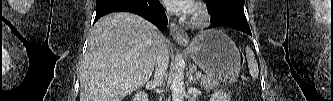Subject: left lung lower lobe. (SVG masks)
<instances>
[{"instance_id": "obj_1", "label": "left lung lower lobe", "mask_w": 333, "mask_h": 101, "mask_svg": "<svg viewBox=\"0 0 333 101\" xmlns=\"http://www.w3.org/2000/svg\"><path fill=\"white\" fill-rule=\"evenodd\" d=\"M212 17L211 27L227 26L251 35L244 14V0H205Z\"/></svg>"}]
</instances>
